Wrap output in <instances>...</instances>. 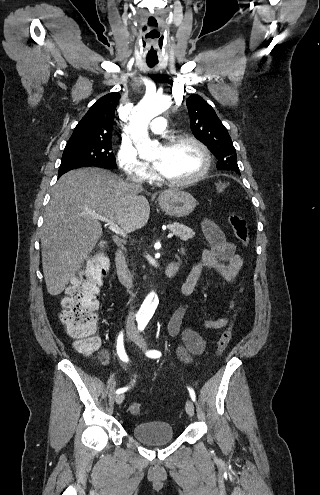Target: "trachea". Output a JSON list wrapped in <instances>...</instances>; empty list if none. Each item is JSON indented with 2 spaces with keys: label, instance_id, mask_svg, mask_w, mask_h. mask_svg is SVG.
Segmentation results:
<instances>
[{
  "label": "trachea",
  "instance_id": "3493384b",
  "mask_svg": "<svg viewBox=\"0 0 320 495\" xmlns=\"http://www.w3.org/2000/svg\"><path fill=\"white\" fill-rule=\"evenodd\" d=\"M149 66H154L157 62L156 61H147Z\"/></svg>",
  "mask_w": 320,
  "mask_h": 495
}]
</instances>
